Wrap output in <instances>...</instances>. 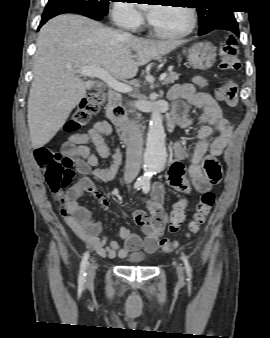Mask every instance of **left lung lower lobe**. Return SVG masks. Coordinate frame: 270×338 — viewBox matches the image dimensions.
<instances>
[{
	"mask_svg": "<svg viewBox=\"0 0 270 338\" xmlns=\"http://www.w3.org/2000/svg\"><path fill=\"white\" fill-rule=\"evenodd\" d=\"M215 29H225V30H230L234 32L236 35H239V29H238V24L234 19H229L219 25Z\"/></svg>",
	"mask_w": 270,
	"mask_h": 338,
	"instance_id": "0a47b994",
	"label": "left lung lower lobe"
}]
</instances>
